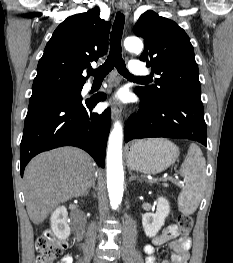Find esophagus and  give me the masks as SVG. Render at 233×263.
<instances>
[{
    "instance_id": "esophagus-1",
    "label": "esophagus",
    "mask_w": 233,
    "mask_h": 263,
    "mask_svg": "<svg viewBox=\"0 0 233 263\" xmlns=\"http://www.w3.org/2000/svg\"><path fill=\"white\" fill-rule=\"evenodd\" d=\"M119 9L120 11L126 16V18L129 16L130 8L127 2H120L119 3ZM122 107L118 102H113L111 105V114L112 118L116 119L118 116L121 115Z\"/></svg>"
}]
</instances>
